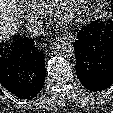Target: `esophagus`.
<instances>
[{
	"instance_id": "esophagus-1",
	"label": "esophagus",
	"mask_w": 113,
	"mask_h": 113,
	"mask_svg": "<svg viewBox=\"0 0 113 113\" xmlns=\"http://www.w3.org/2000/svg\"><path fill=\"white\" fill-rule=\"evenodd\" d=\"M63 39H65L66 41H69V42H73L75 40V37L72 36V35H67L65 37H63Z\"/></svg>"
}]
</instances>
